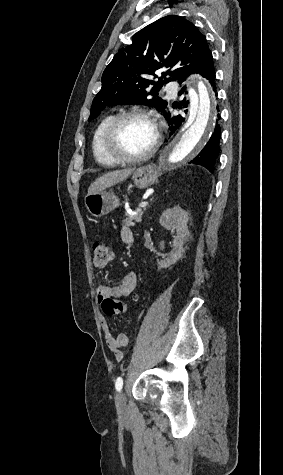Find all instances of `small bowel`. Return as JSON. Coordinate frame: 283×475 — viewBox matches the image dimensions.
I'll list each match as a JSON object with an SVG mask.
<instances>
[{"mask_svg": "<svg viewBox=\"0 0 283 475\" xmlns=\"http://www.w3.org/2000/svg\"><path fill=\"white\" fill-rule=\"evenodd\" d=\"M121 239L124 244L130 246L135 242V237L132 230L129 227H123L121 229ZM137 285V275L134 272H129L118 285L99 284L95 290V298L98 304L102 306L103 310V296L104 293H124V289H129V294L135 289ZM124 311H121V313ZM117 315V314H116ZM113 316V315H111ZM101 328L106 339L108 348L114 354L117 361H121L125 355V348L128 346L129 339L126 334L120 333L117 336L112 334V331L105 318L100 321Z\"/></svg>", "mask_w": 283, "mask_h": 475, "instance_id": "1", "label": "small bowel"}]
</instances>
